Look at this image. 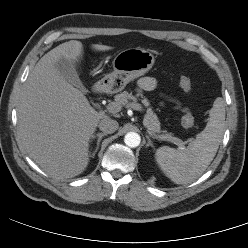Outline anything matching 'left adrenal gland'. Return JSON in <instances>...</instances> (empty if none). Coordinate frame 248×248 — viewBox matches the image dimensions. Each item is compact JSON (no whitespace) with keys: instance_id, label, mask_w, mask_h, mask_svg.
Segmentation results:
<instances>
[{"instance_id":"obj_1","label":"left adrenal gland","mask_w":248,"mask_h":248,"mask_svg":"<svg viewBox=\"0 0 248 248\" xmlns=\"http://www.w3.org/2000/svg\"><path fill=\"white\" fill-rule=\"evenodd\" d=\"M146 138H147V140H148V142H147V144H146V147L151 146L152 148H154V146H153V144H152V141H151L150 137L147 135Z\"/></svg>"}]
</instances>
